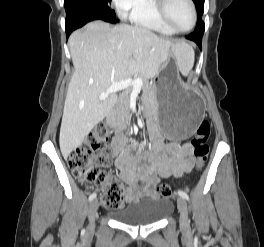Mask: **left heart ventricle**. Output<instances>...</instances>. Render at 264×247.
I'll use <instances>...</instances> for the list:
<instances>
[{"label": "left heart ventricle", "mask_w": 264, "mask_h": 247, "mask_svg": "<svg viewBox=\"0 0 264 247\" xmlns=\"http://www.w3.org/2000/svg\"><path fill=\"white\" fill-rule=\"evenodd\" d=\"M168 16L177 28H187L192 22V11L187 0H169Z\"/></svg>", "instance_id": "1"}]
</instances>
